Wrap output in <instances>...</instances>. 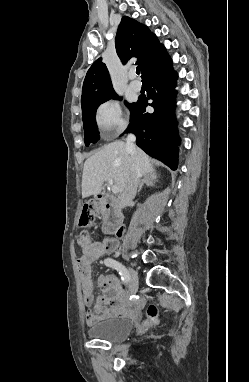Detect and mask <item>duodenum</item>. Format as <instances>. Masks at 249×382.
<instances>
[{
    "label": "duodenum",
    "mask_w": 249,
    "mask_h": 382,
    "mask_svg": "<svg viewBox=\"0 0 249 382\" xmlns=\"http://www.w3.org/2000/svg\"><path fill=\"white\" fill-rule=\"evenodd\" d=\"M95 197L107 215L105 230L107 232L120 234L122 212L118 208L116 198L105 192H98Z\"/></svg>",
    "instance_id": "1"
}]
</instances>
